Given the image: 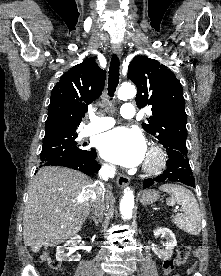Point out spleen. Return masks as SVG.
<instances>
[{
    "mask_svg": "<svg viewBox=\"0 0 221 276\" xmlns=\"http://www.w3.org/2000/svg\"><path fill=\"white\" fill-rule=\"evenodd\" d=\"M160 190L171 195L172 199L182 207L183 213L172 216V222L190 235H199L201 232V213L193 193L177 184H164Z\"/></svg>",
    "mask_w": 221,
    "mask_h": 276,
    "instance_id": "obj_1",
    "label": "spleen"
}]
</instances>
